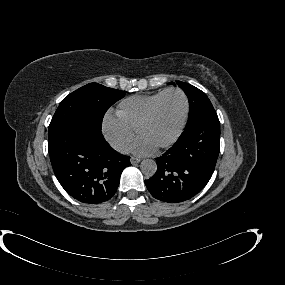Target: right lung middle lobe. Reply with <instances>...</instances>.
<instances>
[{"instance_id": "dd1d6c3e", "label": "right lung middle lobe", "mask_w": 285, "mask_h": 285, "mask_svg": "<svg viewBox=\"0 0 285 285\" xmlns=\"http://www.w3.org/2000/svg\"><path fill=\"white\" fill-rule=\"evenodd\" d=\"M125 91L90 83L65 97L49 125V135L70 123H85L101 129L106 111L122 99Z\"/></svg>"}]
</instances>
